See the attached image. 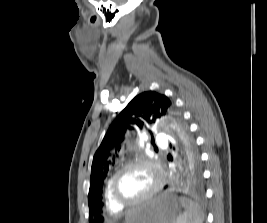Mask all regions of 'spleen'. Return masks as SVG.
I'll return each instance as SVG.
<instances>
[{
	"instance_id": "obj_1",
	"label": "spleen",
	"mask_w": 267,
	"mask_h": 223,
	"mask_svg": "<svg viewBox=\"0 0 267 223\" xmlns=\"http://www.w3.org/2000/svg\"><path fill=\"white\" fill-rule=\"evenodd\" d=\"M182 207L185 209L183 214H180L176 223H203L204 213L201 207L191 199L181 197L179 199Z\"/></svg>"
}]
</instances>
